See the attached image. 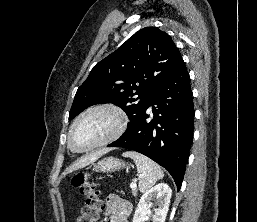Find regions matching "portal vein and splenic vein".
Returning <instances> with one entry per match:
<instances>
[{"instance_id":"1","label":"portal vein and splenic vein","mask_w":257,"mask_h":222,"mask_svg":"<svg viewBox=\"0 0 257 222\" xmlns=\"http://www.w3.org/2000/svg\"><path fill=\"white\" fill-rule=\"evenodd\" d=\"M130 187H131V189H133V188H136V187H137V185H136V183H135V182H132V183L130 184Z\"/></svg>"}]
</instances>
